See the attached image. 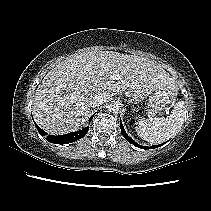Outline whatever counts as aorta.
Masks as SVG:
<instances>
[{
    "mask_svg": "<svg viewBox=\"0 0 211 211\" xmlns=\"http://www.w3.org/2000/svg\"><path fill=\"white\" fill-rule=\"evenodd\" d=\"M108 111L112 113H118L120 111V103L117 101H111L107 105Z\"/></svg>",
    "mask_w": 211,
    "mask_h": 211,
    "instance_id": "1",
    "label": "aorta"
}]
</instances>
